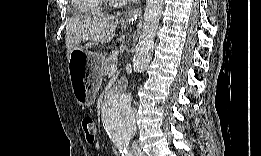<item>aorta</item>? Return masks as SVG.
I'll return each instance as SVG.
<instances>
[{"instance_id": "aorta-1", "label": "aorta", "mask_w": 261, "mask_h": 156, "mask_svg": "<svg viewBox=\"0 0 261 156\" xmlns=\"http://www.w3.org/2000/svg\"><path fill=\"white\" fill-rule=\"evenodd\" d=\"M163 0H147L133 68L143 73L154 49L155 33L163 11ZM131 94L115 95L106 100L102 108V123L107 135L113 141L128 143L136 132V119L131 106Z\"/></svg>"}]
</instances>
